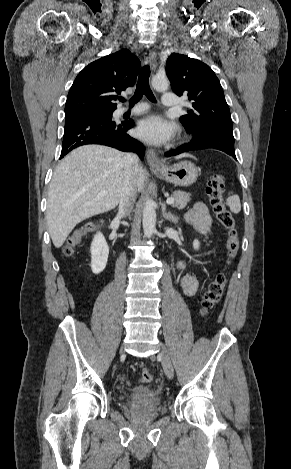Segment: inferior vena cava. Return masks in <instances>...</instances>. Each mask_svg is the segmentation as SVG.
<instances>
[{
    "instance_id": "1",
    "label": "inferior vena cava",
    "mask_w": 291,
    "mask_h": 469,
    "mask_svg": "<svg viewBox=\"0 0 291 469\" xmlns=\"http://www.w3.org/2000/svg\"><path fill=\"white\" fill-rule=\"evenodd\" d=\"M140 167L139 158L135 154L127 153L124 156L125 178L122 184L119 212L120 217L130 215L137 196L135 176Z\"/></svg>"
}]
</instances>
